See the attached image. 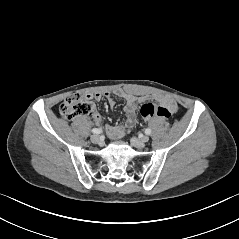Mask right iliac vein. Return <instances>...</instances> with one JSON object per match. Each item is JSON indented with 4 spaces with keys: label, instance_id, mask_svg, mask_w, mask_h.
<instances>
[{
    "label": "right iliac vein",
    "instance_id": "right-iliac-vein-1",
    "mask_svg": "<svg viewBox=\"0 0 239 239\" xmlns=\"http://www.w3.org/2000/svg\"><path fill=\"white\" fill-rule=\"evenodd\" d=\"M90 139L94 144H99L101 142V137L99 135H92Z\"/></svg>",
    "mask_w": 239,
    "mask_h": 239
}]
</instances>
